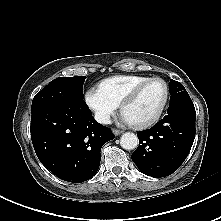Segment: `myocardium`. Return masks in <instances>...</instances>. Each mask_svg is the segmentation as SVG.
<instances>
[{"label":"myocardium","instance_id":"1","mask_svg":"<svg viewBox=\"0 0 221 221\" xmlns=\"http://www.w3.org/2000/svg\"><path fill=\"white\" fill-rule=\"evenodd\" d=\"M153 82H160L163 84V86L165 88V97H164V100H163L160 108L158 109V111L156 112V114L154 116H152L151 118L144 120V121L134 122V125L140 129L149 128L160 121V119H161V117L167 107L169 97H170V89H169V85L167 84V82L159 77L149 78V79L145 80L144 82L138 84L121 102V110L124 113L125 110L127 109V107L129 105H131L138 98L141 91L146 86H148L149 84H151Z\"/></svg>","mask_w":221,"mask_h":221}]
</instances>
